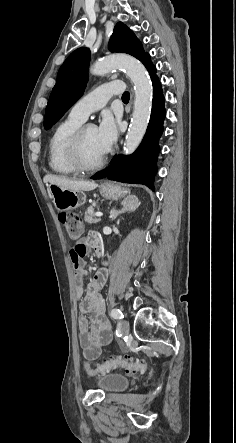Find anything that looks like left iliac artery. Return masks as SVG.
I'll return each mask as SVG.
<instances>
[{
    "mask_svg": "<svg viewBox=\"0 0 236 443\" xmlns=\"http://www.w3.org/2000/svg\"><path fill=\"white\" fill-rule=\"evenodd\" d=\"M111 316H112L114 319H116V320H121V319L124 318V315H123V313L121 312V310H119V309H117V308L112 309V311H111Z\"/></svg>",
    "mask_w": 236,
    "mask_h": 443,
    "instance_id": "obj_1",
    "label": "left iliac artery"
}]
</instances>
